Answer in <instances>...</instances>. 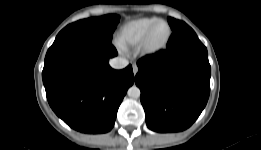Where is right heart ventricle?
Here are the masks:
<instances>
[{
    "instance_id": "e07e8e85",
    "label": "right heart ventricle",
    "mask_w": 261,
    "mask_h": 150,
    "mask_svg": "<svg viewBox=\"0 0 261 150\" xmlns=\"http://www.w3.org/2000/svg\"><path fill=\"white\" fill-rule=\"evenodd\" d=\"M158 19L142 17L126 22L119 30L118 44L124 49L138 46L147 29Z\"/></svg>"
}]
</instances>
